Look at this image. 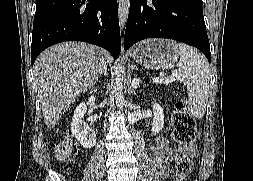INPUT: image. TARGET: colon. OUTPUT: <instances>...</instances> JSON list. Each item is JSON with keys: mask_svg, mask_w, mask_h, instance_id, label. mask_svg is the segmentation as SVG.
Segmentation results:
<instances>
[{"mask_svg": "<svg viewBox=\"0 0 253 181\" xmlns=\"http://www.w3.org/2000/svg\"><path fill=\"white\" fill-rule=\"evenodd\" d=\"M174 139L184 150L183 155L179 158L175 168V181L185 179L193 168L191 151L198 140V131L194 119L187 113L183 101L175 104V110L172 115ZM70 146L66 143L58 147V155L64 157L68 155Z\"/></svg>", "mask_w": 253, "mask_h": 181, "instance_id": "5ec220e1", "label": "colon"}]
</instances>
